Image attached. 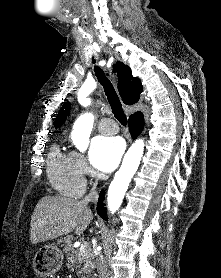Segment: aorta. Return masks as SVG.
I'll use <instances>...</instances> for the list:
<instances>
[{"label":"aorta","mask_w":221,"mask_h":278,"mask_svg":"<svg viewBox=\"0 0 221 278\" xmlns=\"http://www.w3.org/2000/svg\"><path fill=\"white\" fill-rule=\"evenodd\" d=\"M94 124V115L85 113L81 115L73 126L71 137L73 143L80 151H85L89 145V137ZM144 152V141L136 140L127 151L120 169L112 180L107 197L108 210L113 214L122 204L132 177L138 169Z\"/></svg>","instance_id":"762f6f07"}]
</instances>
